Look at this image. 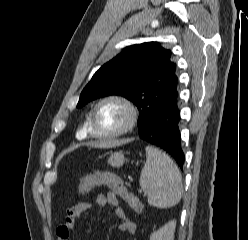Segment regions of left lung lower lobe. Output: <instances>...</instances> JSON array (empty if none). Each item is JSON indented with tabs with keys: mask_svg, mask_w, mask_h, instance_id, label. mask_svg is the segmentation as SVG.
Segmentation results:
<instances>
[{
	"mask_svg": "<svg viewBox=\"0 0 248 240\" xmlns=\"http://www.w3.org/2000/svg\"><path fill=\"white\" fill-rule=\"evenodd\" d=\"M179 123L180 110L176 99L155 114L145 130L139 132V137L168 152L182 169L185 156L181 148Z\"/></svg>",
	"mask_w": 248,
	"mask_h": 240,
	"instance_id": "0a47b994",
	"label": "left lung lower lobe"
}]
</instances>
